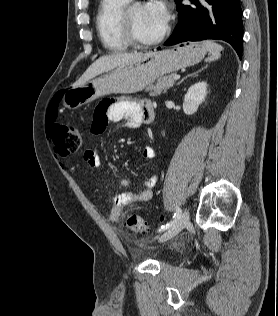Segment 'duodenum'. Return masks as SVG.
Instances as JSON below:
<instances>
[{"label":"duodenum","mask_w":278,"mask_h":316,"mask_svg":"<svg viewBox=\"0 0 278 316\" xmlns=\"http://www.w3.org/2000/svg\"><path fill=\"white\" fill-rule=\"evenodd\" d=\"M154 117H155V113H154L153 109L151 108L145 114V121L152 122L154 120Z\"/></svg>","instance_id":"duodenum-1"}]
</instances>
